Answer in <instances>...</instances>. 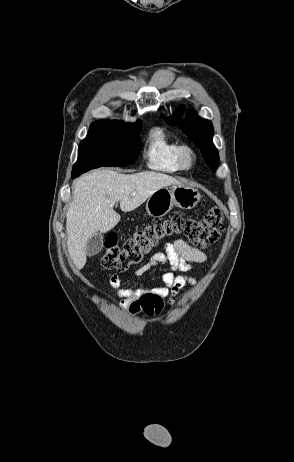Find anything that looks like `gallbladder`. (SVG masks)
<instances>
[{
  "mask_svg": "<svg viewBox=\"0 0 294 462\" xmlns=\"http://www.w3.org/2000/svg\"><path fill=\"white\" fill-rule=\"evenodd\" d=\"M103 247V235L100 232H95L87 241L86 255L89 257L98 254Z\"/></svg>",
  "mask_w": 294,
  "mask_h": 462,
  "instance_id": "1",
  "label": "gallbladder"
}]
</instances>
